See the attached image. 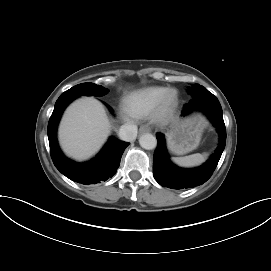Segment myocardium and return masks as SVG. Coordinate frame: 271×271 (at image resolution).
I'll list each match as a JSON object with an SVG mask.
<instances>
[{"label": "myocardium", "mask_w": 271, "mask_h": 271, "mask_svg": "<svg viewBox=\"0 0 271 271\" xmlns=\"http://www.w3.org/2000/svg\"><path fill=\"white\" fill-rule=\"evenodd\" d=\"M179 104V95L175 89H168L154 108V117L159 121L169 119Z\"/></svg>", "instance_id": "myocardium-1"}]
</instances>
